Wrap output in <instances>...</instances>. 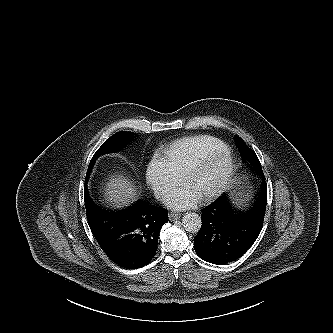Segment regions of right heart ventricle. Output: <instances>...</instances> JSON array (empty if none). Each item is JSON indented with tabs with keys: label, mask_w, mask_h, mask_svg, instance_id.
Segmentation results:
<instances>
[{
	"label": "right heart ventricle",
	"mask_w": 333,
	"mask_h": 333,
	"mask_svg": "<svg viewBox=\"0 0 333 333\" xmlns=\"http://www.w3.org/2000/svg\"><path fill=\"white\" fill-rule=\"evenodd\" d=\"M225 145L223 141L210 135L190 136L167 145L162 150V157L171 171L178 177H182L198 158Z\"/></svg>",
	"instance_id": "right-heart-ventricle-1"
}]
</instances>
